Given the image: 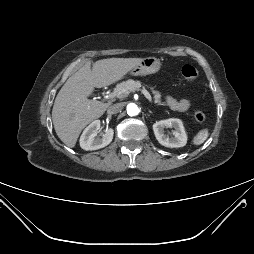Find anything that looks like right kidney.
Listing matches in <instances>:
<instances>
[{
  "mask_svg": "<svg viewBox=\"0 0 254 254\" xmlns=\"http://www.w3.org/2000/svg\"><path fill=\"white\" fill-rule=\"evenodd\" d=\"M101 127L100 120L93 121L85 128L80 137V146L86 151L97 150L109 145L113 139L114 131L112 128L106 129L101 138L96 137Z\"/></svg>",
  "mask_w": 254,
  "mask_h": 254,
  "instance_id": "1",
  "label": "right kidney"
}]
</instances>
